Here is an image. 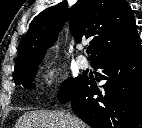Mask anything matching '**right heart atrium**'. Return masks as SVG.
<instances>
[{
    "mask_svg": "<svg viewBox=\"0 0 142 128\" xmlns=\"http://www.w3.org/2000/svg\"><path fill=\"white\" fill-rule=\"evenodd\" d=\"M40 84L46 89L52 88L58 81V69L54 61L46 62L40 73Z\"/></svg>",
    "mask_w": 142,
    "mask_h": 128,
    "instance_id": "1",
    "label": "right heart atrium"
}]
</instances>
